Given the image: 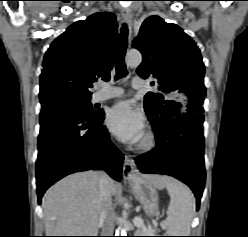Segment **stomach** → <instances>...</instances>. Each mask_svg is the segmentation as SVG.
Listing matches in <instances>:
<instances>
[{"label":"stomach","mask_w":248,"mask_h":237,"mask_svg":"<svg viewBox=\"0 0 248 237\" xmlns=\"http://www.w3.org/2000/svg\"><path fill=\"white\" fill-rule=\"evenodd\" d=\"M132 191L136 199L149 216L157 214L159 209V197L157 187L147 178L138 177L134 181H130Z\"/></svg>","instance_id":"0dacf381"}]
</instances>
